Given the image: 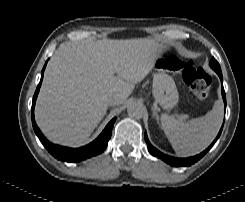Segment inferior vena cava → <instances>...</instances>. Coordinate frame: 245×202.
<instances>
[{
    "instance_id": "inferior-vena-cava-1",
    "label": "inferior vena cava",
    "mask_w": 245,
    "mask_h": 202,
    "mask_svg": "<svg viewBox=\"0 0 245 202\" xmlns=\"http://www.w3.org/2000/svg\"><path fill=\"white\" fill-rule=\"evenodd\" d=\"M108 105H115L119 102V96L117 94L109 95L106 99Z\"/></svg>"
}]
</instances>
